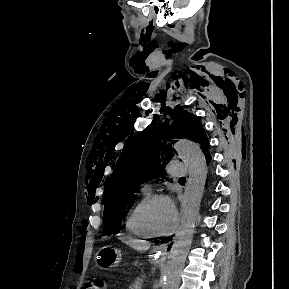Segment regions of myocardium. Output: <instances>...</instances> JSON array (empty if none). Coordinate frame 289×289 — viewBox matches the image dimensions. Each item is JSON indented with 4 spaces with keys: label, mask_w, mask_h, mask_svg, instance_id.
<instances>
[{
    "label": "myocardium",
    "mask_w": 289,
    "mask_h": 289,
    "mask_svg": "<svg viewBox=\"0 0 289 289\" xmlns=\"http://www.w3.org/2000/svg\"><path fill=\"white\" fill-rule=\"evenodd\" d=\"M159 200H168L169 201V197L165 194L162 193H155L152 194L148 197V199L145 201L140 215H139V219L140 222L143 226V228L147 231V233L152 236V237H163V236H167L170 235L177 227L178 224V216L175 210L174 211V220L172 225L165 231H157L156 229H154L152 227V225L150 224L149 221V212L151 207Z\"/></svg>",
    "instance_id": "f54148a6"
}]
</instances>
